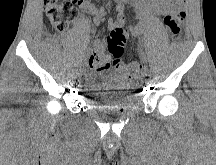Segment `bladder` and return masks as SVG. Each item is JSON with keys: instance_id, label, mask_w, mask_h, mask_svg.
Returning a JSON list of instances; mask_svg holds the SVG:
<instances>
[{"instance_id": "1", "label": "bladder", "mask_w": 216, "mask_h": 165, "mask_svg": "<svg viewBox=\"0 0 216 165\" xmlns=\"http://www.w3.org/2000/svg\"><path fill=\"white\" fill-rule=\"evenodd\" d=\"M85 84L83 94L91 100L93 111H122L135 106L137 94L133 92L134 81L130 76L117 71L109 76L88 74Z\"/></svg>"}]
</instances>
